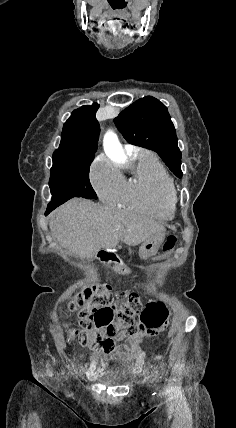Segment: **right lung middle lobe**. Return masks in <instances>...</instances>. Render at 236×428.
Returning <instances> with one entry per match:
<instances>
[{"label":"right lung middle lobe","instance_id":"right-lung-middle-lobe-1","mask_svg":"<svg viewBox=\"0 0 236 428\" xmlns=\"http://www.w3.org/2000/svg\"><path fill=\"white\" fill-rule=\"evenodd\" d=\"M92 161H53L49 180L53 196L48 207H57L73 197L97 199L89 181V168Z\"/></svg>","mask_w":236,"mask_h":428}]
</instances>
